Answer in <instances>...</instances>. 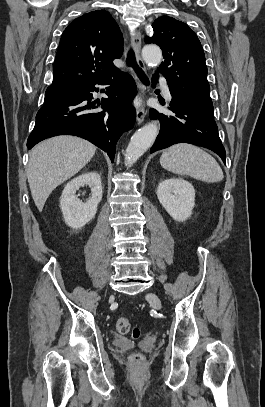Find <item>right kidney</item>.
<instances>
[{
	"mask_svg": "<svg viewBox=\"0 0 265 407\" xmlns=\"http://www.w3.org/2000/svg\"><path fill=\"white\" fill-rule=\"evenodd\" d=\"M85 185L91 188L92 195L83 203L75 194ZM102 194L101 177L94 171L83 173L67 183L60 197V208L65 223L73 229L82 228L89 223L96 214Z\"/></svg>",
	"mask_w": 265,
	"mask_h": 407,
	"instance_id": "obj_1",
	"label": "right kidney"
}]
</instances>
